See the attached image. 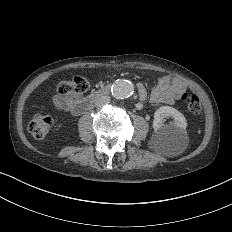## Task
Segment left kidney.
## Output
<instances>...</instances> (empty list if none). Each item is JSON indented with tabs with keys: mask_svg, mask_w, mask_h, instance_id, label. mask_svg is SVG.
Returning a JSON list of instances; mask_svg holds the SVG:
<instances>
[{
	"mask_svg": "<svg viewBox=\"0 0 232 232\" xmlns=\"http://www.w3.org/2000/svg\"><path fill=\"white\" fill-rule=\"evenodd\" d=\"M170 117L174 118V122L165 125L164 120ZM186 124L185 117L175 108L170 106L160 107L154 114L153 146L182 145L188 139L185 132Z\"/></svg>",
	"mask_w": 232,
	"mask_h": 232,
	"instance_id": "obj_1",
	"label": "left kidney"
}]
</instances>
